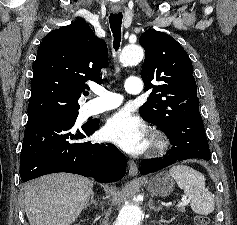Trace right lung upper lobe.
<instances>
[{"label":"right lung upper lobe","instance_id":"obj_1","mask_svg":"<svg viewBox=\"0 0 237 225\" xmlns=\"http://www.w3.org/2000/svg\"><path fill=\"white\" fill-rule=\"evenodd\" d=\"M104 40L89 25L76 21L46 35L33 65L28 119L78 112V99L89 90L88 80L102 83L107 65Z\"/></svg>","mask_w":237,"mask_h":225}]
</instances>
